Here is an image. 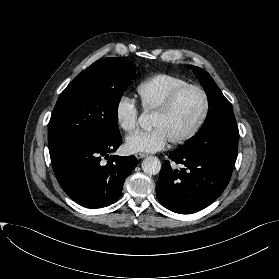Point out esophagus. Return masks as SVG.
<instances>
[{"label": "esophagus", "instance_id": "obj_1", "mask_svg": "<svg viewBox=\"0 0 279 279\" xmlns=\"http://www.w3.org/2000/svg\"><path fill=\"white\" fill-rule=\"evenodd\" d=\"M135 156H136L137 159H142V158L146 157L147 154H145V153H136Z\"/></svg>", "mask_w": 279, "mask_h": 279}]
</instances>
